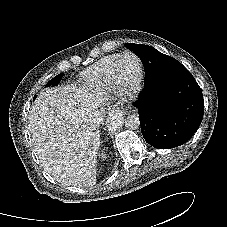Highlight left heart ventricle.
I'll return each instance as SVG.
<instances>
[{"label": "left heart ventricle", "instance_id": "1", "mask_svg": "<svg viewBox=\"0 0 227 227\" xmlns=\"http://www.w3.org/2000/svg\"><path fill=\"white\" fill-rule=\"evenodd\" d=\"M138 73V65L136 60L131 56L124 57L119 63L118 79L123 85H129L136 78Z\"/></svg>", "mask_w": 227, "mask_h": 227}]
</instances>
